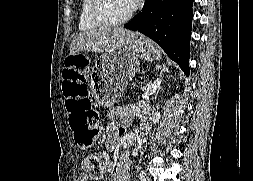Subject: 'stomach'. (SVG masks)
<instances>
[{"label": "stomach", "instance_id": "0dacf381", "mask_svg": "<svg viewBox=\"0 0 253 181\" xmlns=\"http://www.w3.org/2000/svg\"><path fill=\"white\" fill-rule=\"evenodd\" d=\"M161 59L160 50L147 38L140 37L132 45H121L104 53L95 63L92 88L98 105H114L139 69L138 58Z\"/></svg>", "mask_w": 253, "mask_h": 181}]
</instances>
